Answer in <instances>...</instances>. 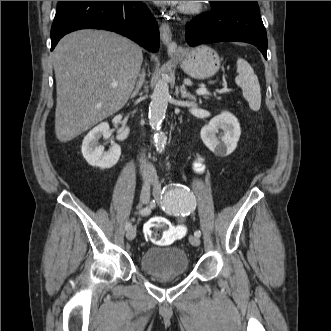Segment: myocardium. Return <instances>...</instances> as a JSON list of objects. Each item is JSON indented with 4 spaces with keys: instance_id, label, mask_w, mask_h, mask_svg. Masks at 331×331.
I'll list each match as a JSON object with an SVG mask.
<instances>
[{
    "instance_id": "myocardium-1",
    "label": "myocardium",
    "mask_w": 331,
    "mask_h": 331,
    "mask_svg": "<svg viewBox=\"0 0 331 331\" xmlns=\"http://www.w3.org/2000/svg\"><path fill=\"white\" fill-rule=\"evenodd\" d=\"M202 8L201 1H183L180 10L186 14H193Z\"/></svg>"
}]
</instances>
